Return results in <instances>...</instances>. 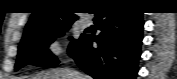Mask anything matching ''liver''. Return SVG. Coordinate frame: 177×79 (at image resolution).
<instances>
[{
    "label": "liver",
    "instance_id": "1",
    "mask_svg": "<svg viewBox=\"0 0 177 79\" xmlns=\"http://www.w3.org/2000/svg\"><path fill=\"white\" fill-rule=\"evenodd\" d=\"M74 71L66 68H56L38 74L27 76L26 79H75ZM83 79H91L88 75H82Z\"/></svg>",
    "mask_w": 177,
    "mask_h": 79
}]
</instances>
